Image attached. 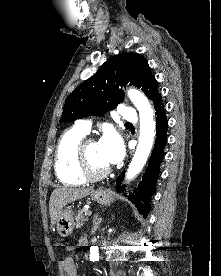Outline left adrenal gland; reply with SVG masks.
<instances>
[{
	"mask_svg": "<svg viewBox=\"0 0 221 276\" xmlns=\"http://www.w3.org/2000/svg\"><path fill=\"white\" fill-rule=\"evenodd\" d=\"M102 221V218H99L98 217V214H96L93 218V224H94V227L92 229V233H95V231L97 230V228L99 227L100 223Z\"/></svg>",
	"mask_w": 221,
	"mask_h": 276,
	"instance_id": "left-adrenal-gland-1",
	"label": "left adrenal gland"
}]
</instances>
